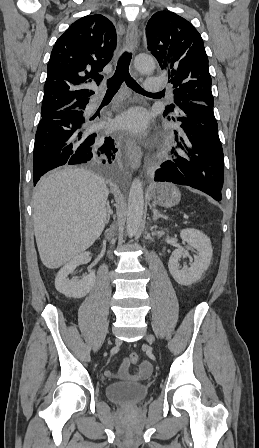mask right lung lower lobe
<instances>
[{"mask_svg":"<svg viewBox=\"0 0 259 448\" xmlns=\"http://www.w3.org/2000/svg\"><path fill=\"white\" fill-rule=\"evenodd\" d=\"M88 103L42 116L34 144V185L46 172L61 165L105 164L115 158L114 140L84 113Z\"/></svg>","mask_w":259,"mask_h":448,"instance_id":"98d812e1","label":"right lung lower lobe"}]
</instances>
